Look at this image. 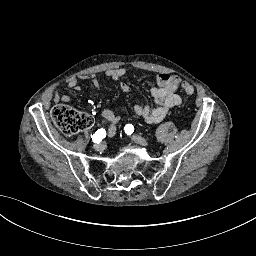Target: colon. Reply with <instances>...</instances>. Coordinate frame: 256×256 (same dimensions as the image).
Instances as JSON below:
<instances>
[{"label":"colon","instance_id":"colon-1","mask_svg":"<svg viewBox=\"0 0 256 256\" xmlns=\"http://www.w3.org/2000/svg\"><path fill=\"white\" fill-rule=\"evenodd\" d=\"M182 90L186 94L193 93V87L187 82L182 83ZM52 119L54 124L68 136L90 128L93 123L92 118L88 114L77 111L65 104L54 108Z\"/></svg>","mask_w":256,"mask_h":256}]
</instances>
